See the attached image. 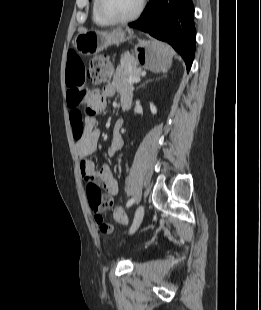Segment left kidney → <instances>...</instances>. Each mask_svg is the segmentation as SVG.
Listing matches in <instances>:
<instances>
[{
  "mask_svg": "<svg viewBox=\"0 0 261 310\" xmlns=\"http://www.w3.org/2000/svg\"><path fill=\"white\" fill-rule=\"evenodd\" d=\"M150 110H151L152 114H156L157 113V109H156V107L154 106L153 103H150Z\"/></svg>",
  "mask_w": 261,
  "mask_h": 310,
  "instance_id": "1",
  "label": "left kidney"
}]
</instances>
